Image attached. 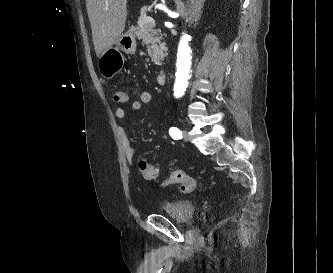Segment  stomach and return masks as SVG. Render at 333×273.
Returning a JSON list of instances; mask_svg holds the SVG:
<instances>
[{
    "label": "stomach",
    "instance_id": "0dacf381",
    "mask_svg": "<svg viewBox=\"0 0 333 273\" xmlns=\"http://www.w3.org/2000/svg\"><path fill=\"white\" fill-rule=\"evenodd\" d=\"M136 45L135 31L131 28L120 36L115 48H109L106 52L100 53L98 66L102 75L109 78L120 70L123 53H114L116 50H121L126 54H134Z\"/></svg>",
    "mask_w": 333,
    "mask_h": 273
}]
</instances>
